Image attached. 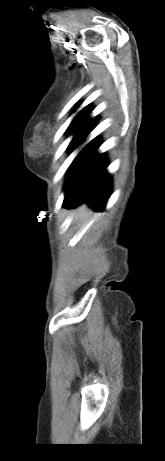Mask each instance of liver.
I'll list each match as a JSON object with an SVG mask.
<instances>
[{
	"label": "liver",
	"mask_w": 165,
	"mask_h": 461,
	"mask_svg": "<svg viewBox=\"0 0 165 461\" xmlns=\"http://www.w3.org/2000/svg\"><path fill=\"white\" fill-rule=\"evenodd\" d=\"M73 217L76 220H83L87 221L88 219H91L92 216V211L89 210L85 205L77 208L75 212L73 213Z\"/></svg>",
	"instance_id": "6515ba94"
}]
</instances>
